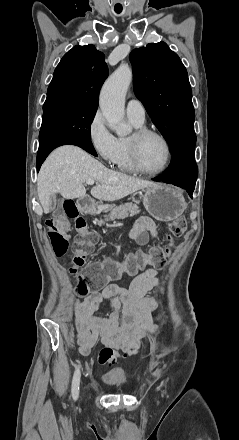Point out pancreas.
<instances>
[{
  "label": "pancreas",
  "instance_id": "1",
  "mask_svg": "<svg viewBox=\"0 0 239 440\" xmlns=\"http://www.w3.org/2000/svg\"><path fill=\"white\" fill-rule=\"evenodd\" d=\"M108 216H103L104 220H98L99 226H103L105 222H114V220H124V218H132L136 214H140V210L137 204H121V206H114V208H109Z\"/></svg>",
  "mask_w": 239,
  "mask_h": 440
}]
</instances>
